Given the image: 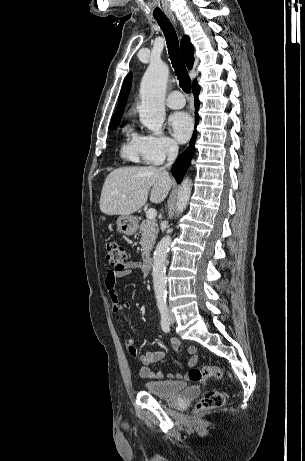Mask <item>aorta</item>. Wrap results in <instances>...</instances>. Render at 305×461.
Instances as JSON below:
<instances>
[{
	"instance_id": "762f6f07",
	"label": "aorta",
	"mask_w": 305,
	"mask_h": 461,
	"mask_svg": "<svg viewBox=\"0 0 305 461\" xmlns=\"http://www.w3.org/2000/svg\"><path fill=\"white\" fill-rule=\"evenodd\" d=\"M169 75L168 66L162 61H152L140 85L141 105L139 117L141 123L154 133H158L165 120L164 99L166 95V84ZM191 195V181L183 179L178 193L176 213L179 215L188 205ZM172 232V229L169 231ZM171 244V236H164L154 252L152 276L153 287L157 297L166 295V267L165 262Z\"/></svg>"
}]
</instances>
